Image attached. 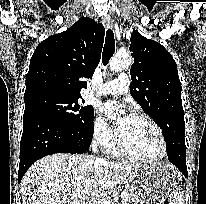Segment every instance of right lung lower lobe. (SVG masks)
I'll list each match as a JSON object with an SVG mask.
<instances>
[{
	"mask_svg": "<svg viewBox=\"0 0 206 204\" xmlns=\"http://www.w3.org/2000/svg\"><path fill=\"white\" fill-rule=\"evenodd\" d=\"M93 123L90 127L71 126L45 114L23 117L20 142L18 180L38 159L55 153L82 154L90 146Z\"/></svg>",
	"mask_w": 206,
	"mask_h": 204,
	"instance_id": "1",
	"label": "right lung lower lobe"
}]
</instances>
